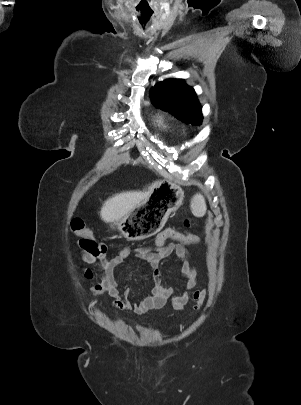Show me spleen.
Masks as SVG:
<instances>
[{"label": "spleen", "mask_w": 301, "mask_h": 405, "mask_svg": "<svg viewBox=\"0 0 301 405\" xmlns=\"http://www.w3.org/2000/svg\"><path fill=\"white\" fill-rule=\"evenodd\" d=\"M206 203L201 194H196L191 201V210L194 216L203 217L206 213Z\"/></svg>", "instance_id": "obj_1"}]
</instances>
